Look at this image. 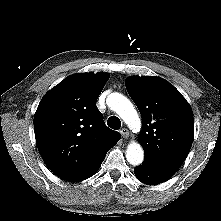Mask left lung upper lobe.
<instances>
[{"instance_id": "obj_1", "label": "left lung upper lobe", "mask_w": 221, "mask_h": 221, "mask_svg": "<svg viewBox=\"0 0 221 221\" xmlns=\"http://www.w3.org/2000/svg\"><path fill=\"white\" fill-rule=\"evenodd\" d=\"M127 92L138 107L143 127L144 161L176 172L192 145L194 118L180 92L160 77H130Z\"/></svg>"}]
</instances>
